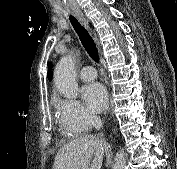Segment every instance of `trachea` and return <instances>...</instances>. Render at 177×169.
Listing matches in <instances>:
<instances>
[{
	"mask_svg": "<svg viewBox=\"0 0 177 169\" xmlns=\"http://www.w3.org/2000/svg\"><path fill=\"white\" fill-rule=\"evenodd\" d=\"M70 22L74 28V30L76 31V33L78 34L82 45L84 46L85 50L87 51V53L89 54V56L95 61L98 62L99 61V54H98V50L97 47L92 39V37L90 36V34L87 32V30L79 23V21L73 17L70 16L69 17Z\"/></svg>",
	"mask_w": 177,
	"mask_h": 169,
	"instance_id": "1",
	"label": "trachea"
}]
</instances>
